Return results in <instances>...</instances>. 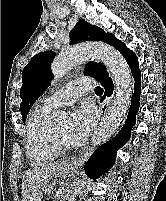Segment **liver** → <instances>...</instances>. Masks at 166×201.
<instances>
[{
  "instance_id": "1",
  "label": "liver",
  "mask_w": 166,
  "mask_h": 201,
  "mask_svg": "<svg viewBox=\"0 0 166 201\" xmlns=\"http://www.w3.org/2000/svg\"><path fill=\"white\" fill-rule=\"evenodd\" d=\"M69 165L56 163L51 165L38 164L25 172L22 179V201H41L43 191L50 180Z\"/></svg>"
}]
</instances>
